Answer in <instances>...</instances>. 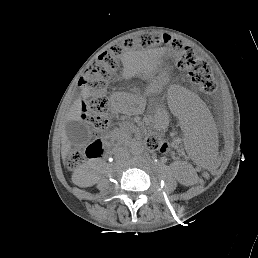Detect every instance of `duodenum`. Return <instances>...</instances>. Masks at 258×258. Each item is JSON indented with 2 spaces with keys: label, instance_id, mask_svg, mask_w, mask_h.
Segmentation results:
<instances>
[{
  "label": "duodenum",
  "instance_id": "410a0bca",
  "mask_svg": "<svg viewBox=\"0 0 258 258\" xmlns=\"http://www.w3.org/2000/svg\"><path fill=\"white\" fill-rule=\"evenodd\" d=\"M100 152H101L100 146H94V147H90L87 150V155L89 158L95 159V158H98L101 156L102 152H101V154H100Z\"/></svg>",
  "mask_w": 258,
  "mask_h": 258
}]
</instances>
